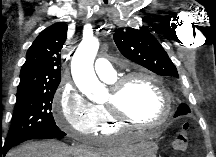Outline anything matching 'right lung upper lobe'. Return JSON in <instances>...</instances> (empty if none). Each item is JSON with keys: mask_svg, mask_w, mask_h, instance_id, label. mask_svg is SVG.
<instances>
[{"mask_svg": "<svg viewBox=\"0 0 216 157\" xmlns=\"http://www.w3.org/2000/svg\"><path fill=\"white\" fill-rule=\"evenodd\" d=\"M67 24L59 22L44 29L27 51L20 71L17 97L58 87L61 81L60 51L66 40Z\"/></svg>", "mask_w": 216, "mask_h": 157, "instance_id": "right-lung-upper-lobe-1", "label": "right lung upper lobe"}]
</instances>
